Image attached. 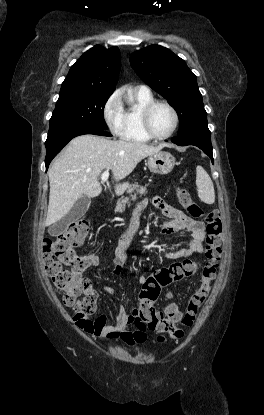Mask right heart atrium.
Here are the masks:
<instances>
[{"instance_id":"obj_1","label":"right heart atrium","mask_w":264,"mask_h":415,"mask_svg":"<svg viewBox=\"0 0 264 415\" xmlns=\"http://www.w3.org/2000/svg\"><path fill=\"white\" fill-rule=\"evenodd\" d=\"M103 116L110 130L119 135L124 123V108L117 92L111 94L105 102Z\"/></svg>"}]
</instances>
